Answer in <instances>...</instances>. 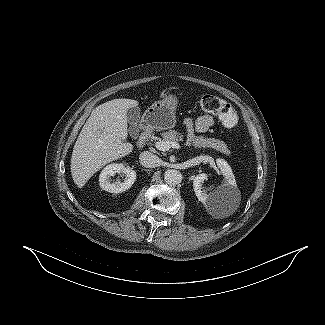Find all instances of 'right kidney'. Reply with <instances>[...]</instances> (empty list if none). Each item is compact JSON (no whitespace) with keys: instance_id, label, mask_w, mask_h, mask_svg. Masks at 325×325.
<instances>
[{"instance_id":"1","label":"right kidney","mask_w":325,"mask_h":325,"mask_svg":"<svg viewBox=\"0 0 325 325\" xmlns=\"http://www.w3.org/2000/svg\"><path fill=\"white\" fill-rule=\"evenodd\" d=\"M115 174H123L125 175V179L123 182L116 181L111 182V177L115 176ZM136 180V172L122 163H113L107 165L99 176L100 187L111 193H121L129 189Z\"/></svg>"}]
</instances>
